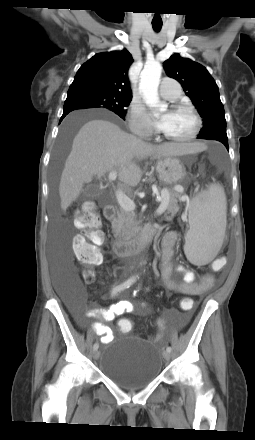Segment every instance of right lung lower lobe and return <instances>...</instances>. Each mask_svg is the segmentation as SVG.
Returning a JSON list of instances; mask_svg holds the SVG:
<instances>
[{
	"label": "right lung lower lobe",
	"mask_w": 255,
	"mask_h": 440,
	"mask_svg": "<svg viewBox=\"0 0 255 440\" xmlns=\"http://www.w3.org/2000/svg\"><path fill=\"white\" fill-rule=\"evenodd\" d=\"M72 110H64V112H63V115H62V117H61V119H60V122L62 121V119L69 113V112H71Z\"/></svg>",
	"instance_id": "right-lung-lower-lobe-1"
}]
</instances>
